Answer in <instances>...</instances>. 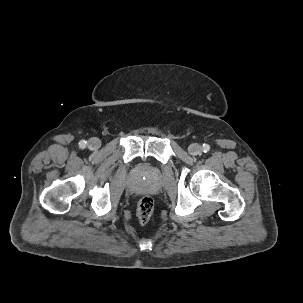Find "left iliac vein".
<instances>
[{
	"instance_id": "left-iliac-vein-1",
	"label": "left iliac vein",
	"mask_w": 303,
	"mask_h": 303,
	"mask_svg": "<svg viewBox=\"0 0 303 303\" xmlns=\"http://www.w3.org/2000/svg\"><path fill=\"white\" fill-rule=\"evenodd\" d=\"M188 151L191 155L196 156L201 152V146L197 143H193L189 146Z\"/></svg>"
}]
</instances>
